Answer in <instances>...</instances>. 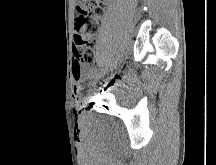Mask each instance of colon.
I'll return each instance as SVG.
<instances>
[{
    "instance_id": "5ec220e1",
    "label": "colon",
    "mask_w": 216,
    "mask_h": 165,
    "mask_svg": "<svg viewBox=\"0 0 216 165\" xmlns=\"http://www.w3.org/2000/svg\"><path fill=\"white\" fill-rule=\"evenodd\" d=\"M106 0H78L74 26V59L82 66L95 61L94 35L103 15Z\"/></svg>"
}]
</instances>
